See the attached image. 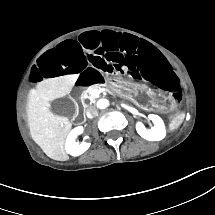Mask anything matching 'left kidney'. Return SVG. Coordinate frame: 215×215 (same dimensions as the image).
<instances>
[{"instance_id":"left-kidney-1","label":"left kidney","mask_w":215,"mask_h":215,"mask_svg":"<svg viewBox=\"0 0 215 215\" xmlns=\"http://www.w3.org/2000/svg\"><path fill=\"white\" fill-rule=\"evenodd\" d=\"M148 118L154 123V126L147 130L142 122H137V133L148 141L163 140L166 136V129L162 118L155 114H149Z\"/></svg>"}]
</instances>
